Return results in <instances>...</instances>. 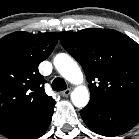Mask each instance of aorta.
<instances>
[{"label": "aorta", "mask_w": 139, "mask_h": 139, "mask_svg": "<svg viewBox=\"0 0 139 139\" xmlns=\"http://www.w3.org/2000/svg\"><path fill=\"white\" fill-rule=\"evenodd\" d=\"M54 66L68 82L77 85L71 93L72 103L78 108H84L89 102V91L86 86L81 85L83 74L78 64L67 54L60 53L54 58Z\"/></svg>", "instance_id": "aorta-1"}]
</instances>
